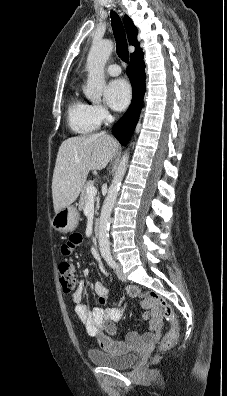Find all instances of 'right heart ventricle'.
Segmentation results:
<instances>
[{
    "label": "right heart ventricle",
    "instance_id": "1",
    "mask_svg": "<svg viewBox=\"0 0 227 396\" xmlns=\"http://www.w3.org/2000/svg\"><path fill=\"white\" fill-rule=\"evenodd\" d=\"M67 119L70 129L77 134H89L99 126L93 116L91 105L78 96H74L69 103Z\"/></svg>",
    "mask_w": 227,
    "mask_h": 396
}]
</instances>
